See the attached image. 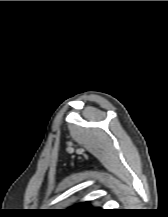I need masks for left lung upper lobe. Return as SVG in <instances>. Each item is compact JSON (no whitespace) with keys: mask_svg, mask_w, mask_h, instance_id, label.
<instances>
[{"mask_svg":"<svg viewBox=\"0 0 168 217\" xmlns=\"http://www.w3.org/2000/svg\"><path fill=\"white\" fill-rule=\"evenodd\" d=\"M90 202H83V203H79L74 205L71 208H68L67 210H63V211H58L57 213L61 214V215H69V216H73V217H79V216H84V215H90V214H95L98 213V209L97 208H90Z\"/></svg>","mask_w":168,"mask_h":217,"instance_id":"obj_1","label":"left lung upper lobe"}]
</instances>
